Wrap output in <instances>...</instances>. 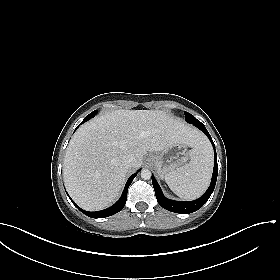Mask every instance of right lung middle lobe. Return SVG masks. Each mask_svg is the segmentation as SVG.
Masks as SVG:
<instances>
[{
    "mask_svg": "<svg viewBox=\"0 0 280 280\" xmlns=\"http://www.w3.org/2000/svg\"><path fill=\"white\" fill-rule=\"evenodd\" d=\"M97 113V111H93L92 113H90L88 116L90 117V118H92V117H94L95 116V114Z\"/></svg>",
    "mask_w": 280,
    "mask_h": 280,
    "instance_id": "1",
    "label": "right lung middle lobe"
}]
</instances>
